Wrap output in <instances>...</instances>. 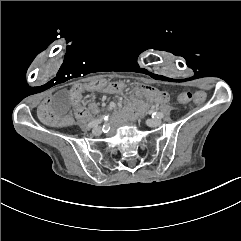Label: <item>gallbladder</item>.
I'll list each match as a JSON object with an SVG mask.
<instances>
[{"mask_svg":"<svg viewBox=\"0 0 241 241\" xmlns=\"http://www.w3.org/2000/svg\"><path fill=\"white\" fill-rule=\"evenodd\" d=\"M69 96L66 92H56L53 97V112L56 116L62 117L69 111Z\"/></svg>","mask_w":241,"mask_h":241,"instance_id":"gallbladder-1","label":"gallbladder"}]
</instances>
